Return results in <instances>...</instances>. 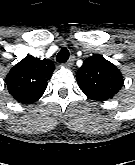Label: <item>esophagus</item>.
Listing matches in <instances>:
<instances>
[{
  "instance_id": "esophagus-1",
  "label": "esophagus",
  "mask_w": 135,
  "mask_h": 165,
  "mask_svg": "<svg viewBox=\"0 0 135 165\" xmlns=\"http://www.w3.org/2000/svg\"><path fill=\"white\" fill-rule=\"evenodd\" d=\"M74 61H75V57L74 56H71L69 58V60L65 63V66L68 67V68L72 67L73 64H74Z\"/></svg>"
}]
</instances>
